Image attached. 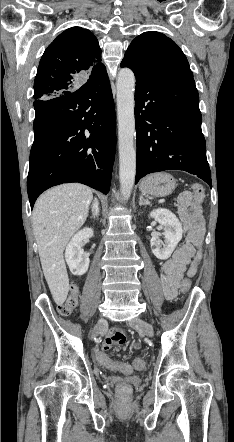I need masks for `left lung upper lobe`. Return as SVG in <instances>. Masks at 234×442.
<instances>
[{"label": "left lung upper lobe", "instance_id": "obj_1", "mask_svg": "<svg viewBox=\"0 0 234 442\" xmlns=\"http://www.w3.org/2000/svg\"><path fill=\"white\" fill-rule=\"evenodd\" d=\"M121 65L131 68L135 76L193 78L182 50L170 38L156 31L144 32L137 36L128 47Z\"/></svg>", "mask_w": 234, "mask_h": 442}]
</instances>
